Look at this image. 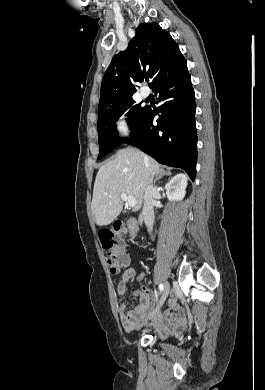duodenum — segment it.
<instances>
[{
	"mask_svg": "<svg viewBox=\"0 0 265 390\" xmlns=\"http://www.w3.org/2000/svg\"><path fill=\"white\" fill-rule=\"evenodd\" d=\"M138 222L135 219H130L128 221V227L133 235H135L137 231Z\"/></svg>",
	"mask_w": 265,
	"mask_h": 390,
	"instance_id": "410a0bca",
	"label": "duodenum"
}]
</instances>
